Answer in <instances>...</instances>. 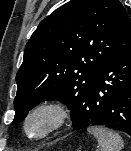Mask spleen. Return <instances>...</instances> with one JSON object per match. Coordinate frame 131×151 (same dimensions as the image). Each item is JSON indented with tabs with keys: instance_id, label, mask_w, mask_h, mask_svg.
Listing matches in <instances>:
<instances>
[{
	"instance_id": "3e777b00",
	"label": "spleen",
	"mask_w": 131,
	"mask_h": 151,
	"mask_svg": "<svg viewBox=\"0 0 131 151\" xmlns=\"http://www.w3.org/2000/svg\"><path fill=\"white\" fill-rule=\"evenodd\" d=\"M87 131L92 134L99 146V151H121L124 143L121 136L103 127H90Z\"/></svg>"
}]
</instances>
